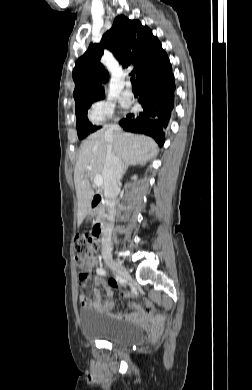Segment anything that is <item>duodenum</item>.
I'll return each mask as SVG.
<instances>
[{
    "label": "duodenum",
    "mask_w": 252,
    "mask_h": 390,
    "mask_svg": "<svg viewBox=\"0 0 252 390\" xmlns=\"http://www.w3.org/2000/svg\"><path fill=\"white\" fill-rule=\"evenodd\" d=\"M103 203H104V195L102 193H96L92 199V208L95 210ZM106 227H107V222L105 220H98L94 225L93 229L96 231L98 236L99 235L105 236Z\"/></svg>",
    "instance_id": "410a0bca"
}]
</instances>
